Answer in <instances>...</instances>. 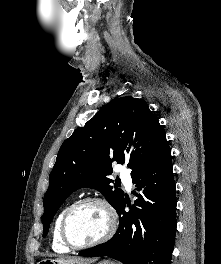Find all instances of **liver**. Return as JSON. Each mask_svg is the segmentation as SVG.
Returning <instances> with one entry per match:
<instances>
[{
	"label": "liver",
	"mask_w": 221,
	"mask_h": 264,
	"mask_svg": "<svg viewBox=\"0 0 221 264\" xmlns=\"http://www.w3.org/2000/svg\"><path fill=\"white\" fill-rule=\"evenodd\" d=\"M62 263H79V264H90L94 260H85L81 258H59L57 259Z\"/></svg>",
	"instance_id": "liver-1"
}]
</instances>
